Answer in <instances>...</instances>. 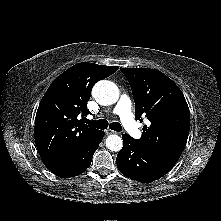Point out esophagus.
<instances>
[{
  "instance_id": "34e87169",
  "label": "esophagus",
  "mask_w": 221,
  "mask_h": 221,
  "mask_svg": "<svg viewBox=\"0 0 221 221\" xmlns=\"http://www.w3.org/2000/svg\"><path fill=\"white\" fill-rule=\"evenodd\" d=\"M105 133H106L107 135H110V134H116L117 132H115V131H113V130H111V129H106V130H105Z\"/></svg>"
}]
</instances>
